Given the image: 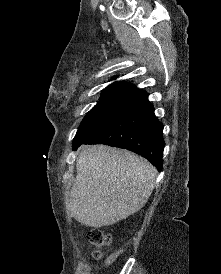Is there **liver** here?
<instances>
[{"mask_svg": "<svg viewBox=\"0 0 221 274\" xmlns=\"http://www.w3.org/2000/svg\"><path fill=\"white\" fill-rule=\"evenodd\" d=\"M67 209L81 224L100 228L136 213L147 203L157 171L127 150L105 145L84 146Z\"/></svg>", "mask_w": 221, "mask_h": 274, "instance_id": "1", "label": "liver"}]
</instances>
